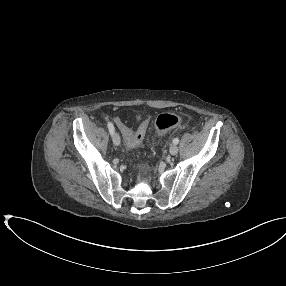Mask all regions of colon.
Returning a JSON list of instances; mask_svg holds the SVG:
<instances>
[{
  "mask_svg": "<svg viewBox=\"0 0 286 286\" xmlns=\"http://www.w3.org/2000/svg\"><path fill=\"white\" fill-rule=\"evenodd\" d=\"M181 123V117L176 114L164 113L157 117L155 121V130L158 134L176 128ZM147 131V124H141L136 132L126 138L127 148H135L142 144Z\"/></svg>",
  "mask_w": 286,
  "mask_h": 286,
  "instance_id": "obj_1",
  "label": "colon"
}]
</instances>
